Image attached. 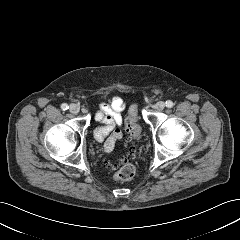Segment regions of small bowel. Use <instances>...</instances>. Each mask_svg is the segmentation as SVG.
<instances>
[{"mask_svg":"<svg viewBox=\"0 0 240 240\" xmlns=\"http://www.w3.org/2000/svg\"><path fill=\"white\" fill-rule=\"evenodd\" d=\"M125 108V102L119 96H114L109 104L102 103L95 112V120L101 124L94 131V138L103 143L105 152H110L116 143L122 139L121 112Z\"/></svg>","mask_w":240,"mask_h":240,"instance_id":"c3829d8e","label":"small bowel"}]
</instances>
